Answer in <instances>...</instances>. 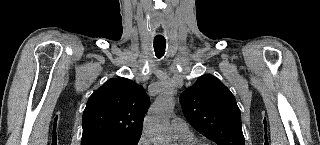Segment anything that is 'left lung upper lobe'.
I'll list each match as a JSON object with an SVG mask.
<instances>
[{
    "mask_svg": "<svg viewBox=\"0 0 320 145\" xmlns=\"http://www.w3.org/2000/svg\"><path fill=\"white\" fill-rule=\"evenodd\" d=\"M180 102L193 128L217 145H245L236 100L215 76L199 77L182 93Z\"/></svg>",
    "mask_w": 320,
    "mask_h": 145,
    "instance_id": "obj_1",
    "label": "left lung upper lobe"
}]
</instances>
